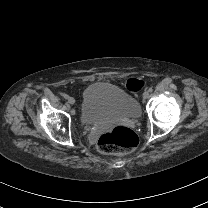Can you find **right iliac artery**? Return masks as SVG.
<instances>
[{"mask_svg": "<svg viewBox=\"0 0 208 208\" xmlns=\"http://www.w3.org/2000/svg\"><path fill=\"white\" fill-rule=\"evenodd\" d=\"M65 99H69L70 97H69V95H67V94H64V96H63Z\"/></svg>", "mask_w": 208, "mask_h": 208, "instance_id": "82829eb1", "label": "right iliac artery"}]
</instances>
